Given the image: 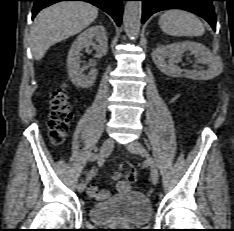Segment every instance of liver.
Returning <instances> with one entry per match:
<instances>
[{"label": "liver", "mask_w": 234, "mask_h": 231, "mask_svg": "<svg viewBox=\"0 0 234 231\" xmlns=\"http://www.w3.org/2000/svg\"><path fill=\"white\" fill-rule=\"evenodd\" d=\"M98 9L86 2H59L43 9L34 19L31 47L41 60L54 44L78 34L97 18Z\"/></svg>", "instance_id": "liver-1"}]
</instances>
